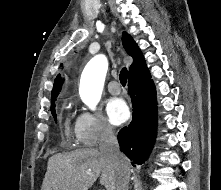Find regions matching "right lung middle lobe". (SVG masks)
<instances>
[{"mask_svg": "<svg viewBox=\"0 0 221 190\" xmlns=\"http://www.w3.org/2000/svg\"><path fill=\"white\" fill-rule=\"evenodd\" d=\"M51 113H52L55 121H57V116H56V112H55V101L51 102Z\"/></svg>", "mask_w": 221, "mask_h": 190, "instance_id": "right-lung-middle-lobe-1", "label": "right lung middle lobe"}]
</instances>
